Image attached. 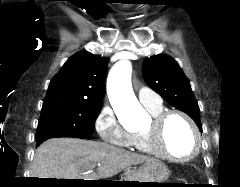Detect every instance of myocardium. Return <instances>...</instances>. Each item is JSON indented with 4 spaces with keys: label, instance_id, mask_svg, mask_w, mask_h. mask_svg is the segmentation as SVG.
<instances>
[{
    "label": "myocardium",
    "instance_id": "f54148a6",
    "mask_svg": "<svg viewBox=\"0 0 240 187\" xmlns=\"http://www.w3.org/2000/svg\"><path fill=\"white\" fill-rule=\"evenodd\" d=\"M177 115L182 117L192 130L194 135V148L193 151L186 157H176L168 153L162 147V132L163 127L170 116ZM142 134L147 139L148 146L154 155H157L163 159H167L176 163H185L195 159L201 150V134L198 126L194 120L185 112L180 110H167L152 116L150 126L142 131Z\"/></svg>",
    "mask_w": 240,
    "mask_h": 187
}]
</instances>
